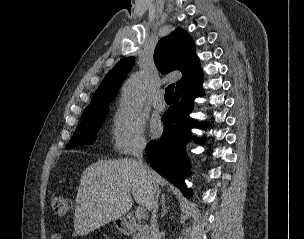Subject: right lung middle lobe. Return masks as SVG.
Here are the masks:
<instances>
[{
	"mask_svg": "<svg viewBox=\"0 0 304 239\" xmlns=\"http://www.w3.org/2000/svg\"><path fill=\"white\" fill-rule=\"evenodd\" d=\"M108 110L107 105H105L84 113L78 130L65 148L69 149L77 145L92 144L95 141V133L103 124Z\"/></svg>",
	"mask_w": 304,
	"mask_h": 239,
	"instance_id": "1",
	"label": "right lung middle lobe"
}]
</instances>
